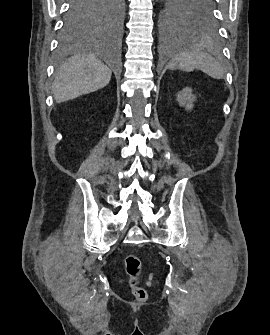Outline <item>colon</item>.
Here are the masks:
<instances>
[{"label": "colon", "instance_id": "5ec220e1", "mask_svg": "<svg viewBox=\"0 0 270 335\" xmlns=\"http://www.w3.org/2000/svg\"><path fill=\"white\" fill-rule=\"evenodd\" d=\"M125 273L133 296L139 300L147 297V290L141 285L142 260L138 255L127 254L123 258Z\"/></svg>", "mask_w": 270, "mask_h": 335}]
</instances>
